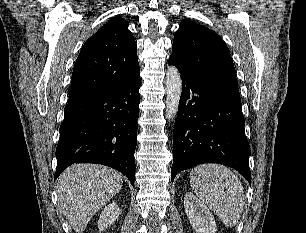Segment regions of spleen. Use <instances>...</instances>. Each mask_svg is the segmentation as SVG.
Returning a JSON list of instances; mask_svg holds the SVG:
<instances>
[{
	"label": "spleen",
	"mask_w": 306,
	"mask_h": 233,
	"mask_svg": "<svg viewBox=\"0 0 306 233\" xmlns=\"http://www.w3.org/2000/svg\"><path fill=\"white\" fill-rule=\"evenodd\" d=\"M189 178L198 198L226 227L238 224L245 203L244 188L230 169L218 164H202L191 170Z\"/></svg>",
	"instance_id": "3e777b00"
}]
</instances>
